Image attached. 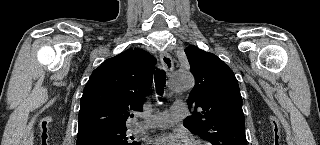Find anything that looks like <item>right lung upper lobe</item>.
Returning a JSON list of instances; mask_svg holds the SVG:
<instances>
[{"instance_id":"1","label":"right lung upper lobe","mask_w":320,"mask_h":145,"mask_svg":"<svg viewBox=\"0 0 320 145\" xmlns=\"http://www.w3.org/2000/svg\"><path fill=\"white\" fill-rule=\"evenodd\" d=\"M157 60L141 49H128L104 61L90 76L81 97L78 136L126 127L132 111H142Z\"/></svg>"}]
</instances>
